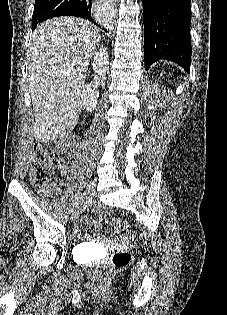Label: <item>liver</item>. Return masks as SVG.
Here are the masks:
<instances>
[{"mask_svg": "<svg viewBox=\"0 0 227 315\" xmlns=\"http://www.w3.org/2000/svg\"><path fill=\"white\" fill-rule=\"evenodd\" d=\"M100 39L97 26L74 17L47 20L33 32L28 84L36 141L46 143L63 138L76 126L85 73Z\"/></svg>", "mask_w": 227, "mask_h": 315, "instance_id": "1", "label": "liver"}]
</instances>
